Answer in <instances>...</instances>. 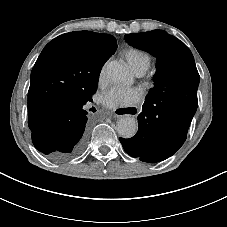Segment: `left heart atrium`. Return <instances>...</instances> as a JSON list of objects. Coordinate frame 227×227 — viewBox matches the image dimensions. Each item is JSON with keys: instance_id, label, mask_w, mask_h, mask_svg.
Segmentation results:
<instances>
[{"instance_id": "1", "label": "left heart atrium", "mask_w": 227, "mask_h": 227, "mask_svg": "<svg viewBox=\"0 0 227 227\" xmlns=\"http://www.w3.org/2000/svg\"><path fill=\"white\" fill-rule=\"evenodd\" d=\"M143 97L138 88L113 87L102 95V103L109 108H128L139 104Z\"/></svg>"}]
</instances>
